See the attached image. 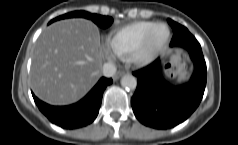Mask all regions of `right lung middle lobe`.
Wrapping results in <instances>:
<instances>
[{
	"label": "right lung middle lobe",
	"mask_w": 238,
	"mask_h": 145,
	"mask_svg": "<svg viewBox=\"0 0 238 145\" xmlns=\"http://www.w3.org/2000/svg\"><path fill=\"white\" fill-rule=\"evenodd\" d=\"M72 17H83L86 19H90L101 28H107L113 22V19L109 16H101V15H97V14H91L86 11H73V12H70V13H67V14H64V15H61L59 17L52 19L49 22V24L54 21L60 20V19L72 18Z\"/></svg>",
	"instance_id": "dd1d6c3e"
}]
</instances>
